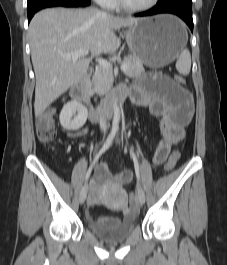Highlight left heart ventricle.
<instances>
[{
    "label": "left heart ventricle",
    "instance_id": "1",
    "mask_svg": "<svg viewBox=\"0 0 227 265\" xmlns=\"http://www.w3.org/2000/svg\"><path fill=\"white\" fill-rule=\"evenodd\" d=\"M126 4L139 7L148 4L151 0H124Z\"/></svg>",
    "mask_w": 227,
    "mask_h": 265
}]
</instances>
